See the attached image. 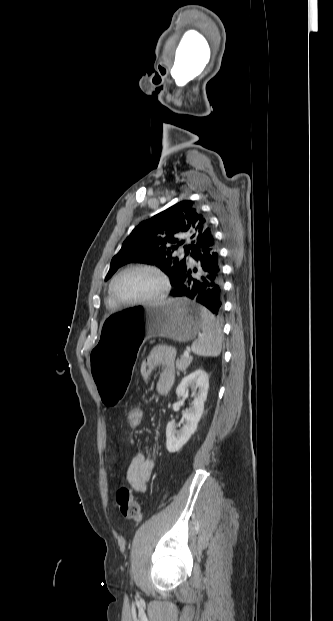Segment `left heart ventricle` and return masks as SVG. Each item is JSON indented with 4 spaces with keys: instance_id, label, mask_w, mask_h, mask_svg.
Segmentation results:
<instances>
[{
    "instance_id": "obj_1",
    "label": "left heart ventricle",
    "mask_w": 333,
    "mask_h": 621,
    "mask_svg": "<svg viewBox=\"0 0 333 621\" xmlns=\"http://www.w3.org/2000/svg\"><path fill=\"white\" fill-rule=\"evenodd\" d=\"M159 277L149 271H131L121 276L115 283L116 295L124 301L147 299L157 296L162 290Z\"/></svg>"
}]
</instances>
